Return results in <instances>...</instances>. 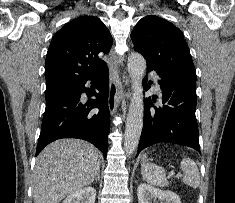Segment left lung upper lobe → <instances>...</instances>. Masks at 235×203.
Returning <instances> with one entry per match:
<instances>
[{
	"label": "left lung upper lobe",
	"mask_w": 235,
	"mask_h": 203,
	"mask_svg": "<svg viewBox=\"0 0 235 203\" xmlns=\"http://www.w3.org/2000/svg\"><path fill=\"white\" fill-rule=\"evenodd\" d=\"M135 51L147 65L196 82V71L183 33L172 23L157 16H146L131 33Z\"/></svg>",
	"instance_id": "1"
}]
</instances>
